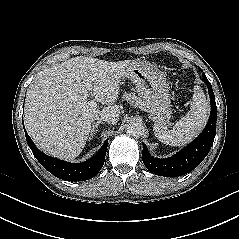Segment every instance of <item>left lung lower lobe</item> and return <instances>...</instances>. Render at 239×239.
Returning <instances> with one entry per match:
<instances>
[{
    "mask_svg": "<svg viewBox=\"0 0 239 239\" xmlns=\"http://www.w3.org/2000/svg\"><path fill=\"white\" fill-rule=\"evenodd\" d=\"M204 82L210 95L211 113L202 133L185 148L167 159L152 157L143 143L142 160L153 174L165 177L182 176L195 169L209 153L216 134L217 106L210 82L208 79Z\"/></svg>",
    "mask_w": 239,
    "mask_h": 239,
    "instance_id": "obj_1",
    "label": "left lung lower lobe"
}]
</instances>
